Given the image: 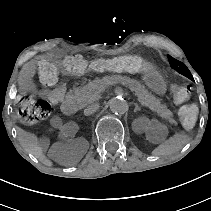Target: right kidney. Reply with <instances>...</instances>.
Here are the masks:
<instances>
[{
	"label": "right kidney",
	"mask_w": 211,
	"mask_h": 211,
	"mask_svg": "<svg viewBox=\"0 0 211 211\" xmlns=\"http://www.w3.org/2000/svg\"><path fill=\"white\" fill-rule=\"evenodd\" d=\"M49 127L51 130L57 131V135L61 139H68L74 136L79 129L78 125L73 121L64 124V120L60 116L51 117Z\"/></svg>",
	"instance_id": "obj_1"
}]
</instances>
